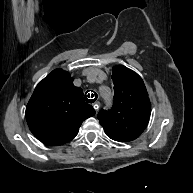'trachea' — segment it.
Returning <instances> with one entry per match:
<instances>
[{"mask_svg": "<svg viewBox=\"0 0 193 193\" xmlns=\"http://www.w3.org/2000/svg\"><path fill=\"white\" fill-rule=\"evenodd\" d=\"M97 94L95 93V98L94 99H88V98H93L94 97V95L93 94H91V96H90V93L87 95V96H85V99H86V101L88 102V103H94L95 102V100L97 99ZM88 97V98H87Z\"/></svg>", "mask_w": 193, "mask_h": 193, "instance_id": "obj_1", "label": "trachea"}]
</instances>
